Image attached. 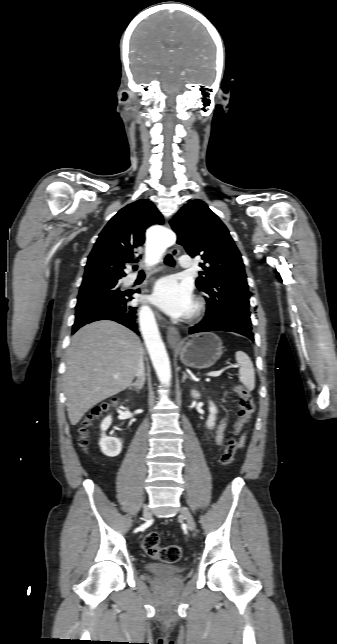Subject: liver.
Masks as SVG:
<instances>
[{
	"mask_svg": "<svg viewBox=\"0 0 337 644\" xmlns=\"http://www.w3.org/2000/svg\"><path fill=\"white\" fill-rule=\"evenodd\" d=\"M142 354L138 336L116 322L97 321L78 330L65 359L64 391L71 425L99 402L129 387Z\"/></svg>",
	"mask_w": 337,
	"mask_h": 644,
	"instance_id": "1",
	"label": "liver"
}]
</instances>
